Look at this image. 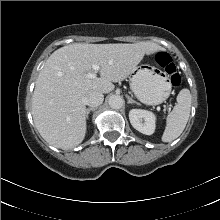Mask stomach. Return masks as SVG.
I'll return each mask as SVG.
<instances>
[{
	"instance_id": "0dacf381",
	"label": "stomach",
	"mask_w": 220,
	"mask_h": 220,
	"mask_svg": "<svg viewBox=\"0 0 220 220\" xmlns=\"http://www.w3.org/2000/svg\"><path fill=\"white\" fill-rule=\"evenodd\" d=\"M135 71L130 77V87L142 103L158 105L169 98L172 84L165 72L153 66H140Z\"/></svg>"
}]
</instances>
